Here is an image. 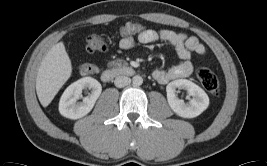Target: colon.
I'll use <instances>...</instances> for the list:
<instances>
[{"label": "colon", "mask_w": 267, "mask_h": 166, "mask_svg": "<svg viewBox=\"0 0 267 166\" xmlns=\"http://www.w3.org/2000/svg\"><path fill=\"white\" fill-rule=\"evenodd\" d=\"M143 28L139 24H130L128 22L123 23L117 30L120 37L125 38L130 33H136ZM85 48L88 52L103 51L107 48V42L99 35H89L85 40ZM96 71V67L93 64H83L80 67V73L82 75H90ZM197 79L202 86L213 96L220 94V85L213 72L204 67H198L196 69Z\"/></svg>", "instance_id": "1"}]
</instances>
